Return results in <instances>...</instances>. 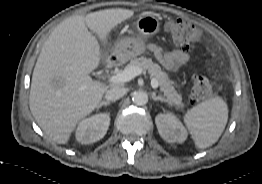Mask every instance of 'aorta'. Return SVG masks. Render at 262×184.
<instances>
[{"label": "aorta", "mask_w": 262, "mask_h": 184, "mask_svg": "<svg viewBox=\"0 0 262 184\" xmlns=\"http://www.w3.org/2000/svg\"><path fill=\"white\" fill-rule=\"evenodd\" d=\"M132 101L137 106H143L148 102V95L144 91H137L133 93Z\"/></svg>", "instance_id": "obj_1"}]
</instances>
